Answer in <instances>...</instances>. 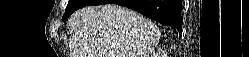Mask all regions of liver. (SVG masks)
<instances>
[{
    "mask_svg": "<svg viewBox=\"0 0 249 57\" xmlns=\"http://www.w3.org/2000/svg\"><path fill=\"white\" fill-rule=\"evenodd\" d=\"M70 25L74 57H149L160 39L155 23L115 4L84 7Z\"/></svg>",
    "mask_w": 249,
    "mask_h": 57,
    "instance_id": "obj_1",
    "label": "liver"
}]
</instances>
